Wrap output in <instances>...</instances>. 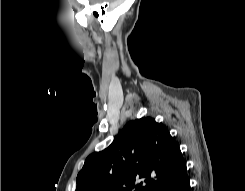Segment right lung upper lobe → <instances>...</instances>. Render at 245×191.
Returning a JSON list of instances; mask_svg holds the SVG:
<instances>
[{"label": "right lung upper lobe", "instance_id": "cb5924a9", "mask_svg": "<svg viewBox=\"0 0 245 191\" xmlns=\"http://www.w3.org/2000/svg\"><path fill=\"white\" fill-rule=\"evenodd\" d=\"M184 167L167 128L141 118L127 123L109 147L87 157L76 191H154Z\"/></svg>", "mask_w": 245, "mask_h": 191}]
</instances>
